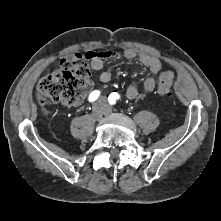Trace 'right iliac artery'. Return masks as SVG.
Masks as SVG:
<instances>
[{
	"label": "right iliac artery",
	"mask_w": 221,
	"mask_h": 221,
	"mask_svg": "<svg viewBox=\"0 0 221 221\" xmlns=\"http://www.w3.org/2000/svg\"><path fill=\"white\" fill-rule=\"evenodd\" d=\"M99 95H100V91H98V90L91 92L88 97L89 102H94L95 100H97Z\"/></svg>",
	"instance_id": "obj_1"
}]
</instances>
